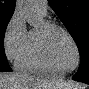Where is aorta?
<instances>
[{
	"instance_id": "762f6f07",
	"label": "aorta",
	"mask_w": 89,
	"mask_h": 89,
	"mask_svg": "<svg viewBox=\"0 0 89 89\" xmlns=\"http://www.w3.org/2000/svg\"><path fill=\"white\" fill-rule=\"evenodd\" d=\"M18 8L29 25L35 26L41 21L42 18L37 10L35 0H19Z\"/></svg>"
}]
</instances>
